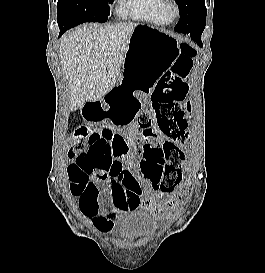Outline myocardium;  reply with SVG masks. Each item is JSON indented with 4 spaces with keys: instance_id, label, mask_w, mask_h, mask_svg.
Segmentation results:
<instances>
[{
    "instance_id": "f54148a6",
    "label": "myocardium",
    "mask_w": 265,
    "mask_h": 273,
    "mask_svg": "<svg viewBox=\"0 0 265 273\" xmlns=\"http://www.w3.org/2000/svg\"><path fill=\"white\" fill-rule=\"evenodd\" d=\"M164 12L171 21L180 17L181 7L176 0H166Z\"/></svg>"
}]
</instances>
